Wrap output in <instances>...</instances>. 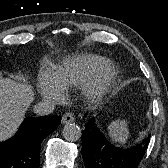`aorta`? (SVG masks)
<instances>
[{"mask_svg":"<svg viewBox=\"0 0 168 168\" xmlns=\"http://www.w3.org/2000/svg\"><path fill=\"white\" fill-rule=\"evenodd\" d=\"M63 137L67 141H77L81 137V129L75 123L66 124L63 128Z\"/></svg>","mask_w":168,"mask_h":168,"instance_id":"1","label":"aorta"}]
</instances>
